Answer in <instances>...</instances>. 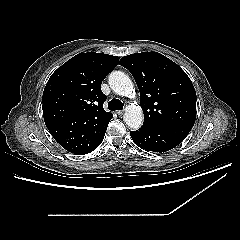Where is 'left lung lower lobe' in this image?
I'll use <instances>...</instances> for the list:
<instances>
[{"mask_svg": "<svg viewBox=\"0 0 240 240\" xmlns=\"http://www.w3.org/2000/svg\"><path fill=\"white\" fill-rule=\"evenodd\" d=\"M191 129L185 126H142L139 130L131 131L130 135L138 147L147 151L162 153L180 144Z\"/></svg>", "mask_w": 240, "mask_h": 240, "instance_id": "left-lung-lower-lobe-1", "label": "left lung lower lobe"}]
</instances>
